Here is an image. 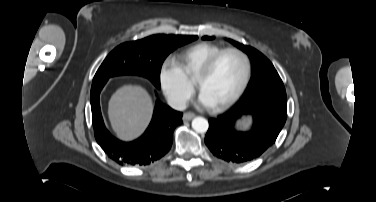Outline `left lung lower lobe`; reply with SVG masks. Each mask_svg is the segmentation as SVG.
<instances>
[{
	"label": "left lung lower lobe",
	"mask_w": 376,
	"mask_h": 202,
	"mask_svg": "<svg viewBox=\"0 0 376 202\" xmlns=\"http://www.w3.org/2000/svg\"><path fill=\"white\" fill-rule=\"evenodd\" d=\"M244 115L253 118L250 131H237L234 124ZM287 118V102L269 96L240 102L232 110L209 120L205 144L214 156L227 162L244 163L272 146Z\"/></svg>",
	"instance_id": "left-lung-lower-lobe-1"
}]
</instances>
